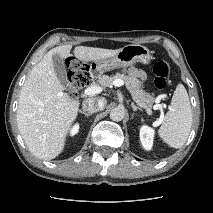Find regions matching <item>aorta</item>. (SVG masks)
<instances>
[{
    "label": "aorta",
    "mask_w": 213,
    "mask_h": 213,
    "mask_svg": "<svg viewBox=\"0 0 213 213\" xmlns=\"http://www.w3.org/2000/svg\"><path fill=\"white\" fill-rule=\"evenodd\" d=\"M125 116V110L122 107H116L114 109L111 110L110 112V118L113 121H121L123 120Z\"/></svg>",
    "instance_id": "1"
}]
</instances>
